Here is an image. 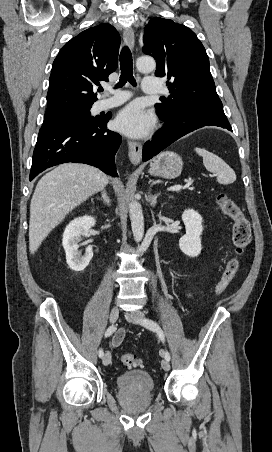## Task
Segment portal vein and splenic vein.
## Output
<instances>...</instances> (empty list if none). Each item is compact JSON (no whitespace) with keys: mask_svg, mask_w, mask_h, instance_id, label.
Here are the masks:
<instances>
[{"mask_svg":"<svg viewBox=\"0 0 272 452\" xmlns=\"http://www.w3.org/2000/svg\"><path fill=\"white\" fill-rule=\"evenodd\" d=\"M192 183H193V180H190L184 186L178 184V185H175V186H172V187L168 188L167 190L168 191H179L181 189L189 188L192 185Z\"/></svg>","mask_w":272,"mask_h":452,"instance_id":"obj_1","label":"portal vein and splenic vein"}]
</instances>
